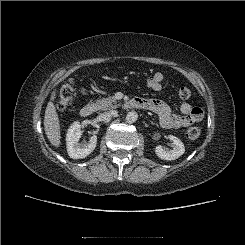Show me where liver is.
<instances>
[{
	"label": "liver",
	"mask_w": 245,
	"mask_h": 245,
	"mask_svg": "<svg viewBox=\"0 0 245 245\" xmlns=\"http://www.w3.org/2000/svg\"><path fill=\"white\" fill-rule=\"evenodd\" d=\"M55 98L56 91H53L45 110L44 130L50 143L55 147H59L61 144V131L58 113L53 103Z\"/></svg>",
	"instance_id": "1"
}]
</instances>
